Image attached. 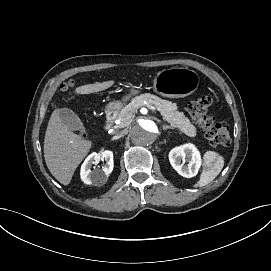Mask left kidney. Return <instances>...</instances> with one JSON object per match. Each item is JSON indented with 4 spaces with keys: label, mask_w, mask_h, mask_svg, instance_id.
Here are the masks:
<instances>
[{
    "label": "left kidney",
    "mask_w": 271,
    "mask_h": 271,
    "mask_svg": "<svg viewBox=\"0 0 271 271\" xmlns=\"http://www.w3.org/2000/svg\"><path fill=\"white\" fill-rule=\"evenodd\" d=\"M169 161L178 174L186 178H191L197 175L200 168V152L194 144L187 143L173 148L169 152ZM185 162H188V165H185Z\"/></svg>",
    "instance_id": "1"
}]
</instances>
